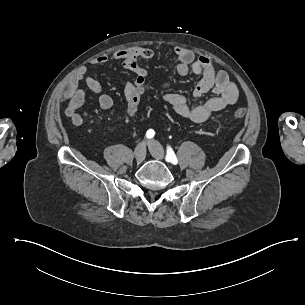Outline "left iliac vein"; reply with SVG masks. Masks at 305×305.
<instances>
[{"mask_svg": "<svg viewBox=\"0 0 305 305\" xmlns=\"http://www.w3.org/2000/svg\"><path fill=\"white\" fill-rule=\"evenodd\" d=\"M148 148H149L152 156L155 159L163 160V158H164V150H163L162 146L158 142H156L154 140L148 142Z\"/></svg>", "mask_w": 305, "mask_h": 305, "instance_id": "left-iliac-vein-1", "label": "left iliac vein"}]
</instances>
